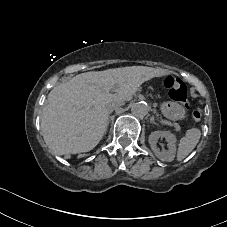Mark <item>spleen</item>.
Wrapping results in <instances>:
<instances>
[{"instance_id":"1","label":"spleen","mask_w":227,"mask_h":227,"mask_svg":"<svg viewBox=\"0 0 227 227\" xmlns=\"http://www.w3.org/2000/svg\"><path fill=\"white\" fill-rule=\"evenodd\" d=\"M201 137V131L197 128L189 129L185 137L181 138L177 146L176 160L181 162L184 160L197 146Z\"/></svg>"}]
</instances>
